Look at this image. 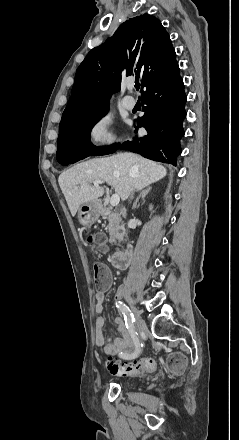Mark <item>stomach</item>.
<instances>
[{
  "label": "stomach",
  "mask_w": 239,
  "mask_h": 440,
  "mask_svg": "<svg viewBox=\"0 0 239 440\" xmlns=\"http://www.w3.org/2000/svg\"><path fill=\"white\" fill-rule=\"evenodd\" d=\"M102 212L103 210L99 200L84 202L78 210V220L83 228H91L92 224L98 220Z\"/></svg>",
  "instance_id": "1"
}]
</instances>
